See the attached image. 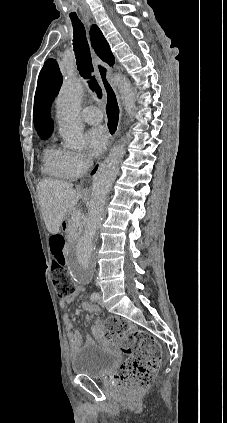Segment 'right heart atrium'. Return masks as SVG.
<instances>
[{"label": "right heart atrium", "mask_w": 227, "mask_h": 423, "mask_svg": "<svg viewBox=\"0 0 227 423\" xmlns=\"http://www.w3.org/2000/svg\"><path fill=\"white\" fill-rule=\"evenodd\" d=\"M91 157L82 151L64 150L62 167L67 179H76L86 173L92 167Z\"/></svg>", "instance_id": "1"}]
</instances>
